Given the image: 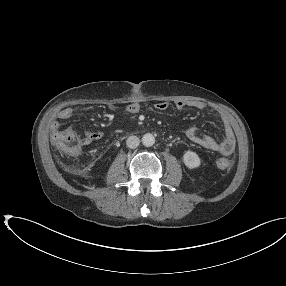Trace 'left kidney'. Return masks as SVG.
Returning <instances> with one entry per match:
<instances>
[{
	"mask_svg": "<svg viewBox=\"0 0 286 286\" xmlns=\"http://www.w3.org/2000/svg\"><path fill=\"white\" fill-rule=\"evenodd\" d=\"M183 161L189 169L198 168L201 164L199 156L193 151H186L183 155Z\"/></svg>",
	"mask_w": 286,
	"mask_h": 286,
	"instance_id": "5707ae66",
	"label": "left kidney"
}]
</instances>
